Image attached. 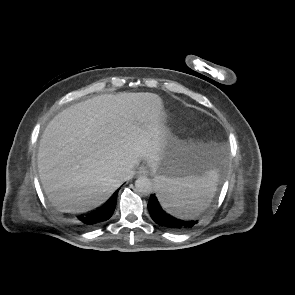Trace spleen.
Masks as SVG:
<instances>
[{
  "mask_svg": "<svg viewBox=\"0 0 295 295\" xmlns=\"http://www.w3.org/2000/svg\"><path fill=\"white\" fill-rule=\"evenodd\" d=\"M158 199L169 213L194 219L210 204L217 189L218 173L211 169L201 177H155Z\"/></svg>",
  "mask_w": 295,
  "mask_h": 295,
  "instance_id": "1",
  "label": "spleen"
}]
</instances>
